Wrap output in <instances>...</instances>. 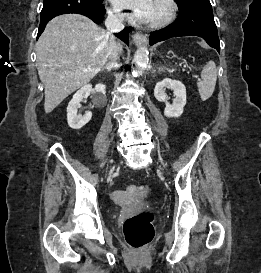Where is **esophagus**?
<instances>
[{"mask_svg":"<svg viewBox=\"0 0 261 273\" xmlns=\"http://www.w3.org/2000/svg\"><path fill=\"white\" fill-rule=\"evenodd\" d=\"M132 38L137 45L145 44L147 41V37L142 32H135Z\"/></svg>","mask_w":261,"mask_h":273,"instance_id":"obj_1","label":"esophagus"}]
</instances>
